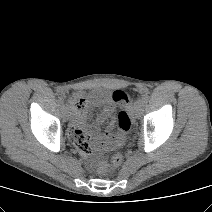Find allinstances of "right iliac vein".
Listing matches in <instances>:
<instances>
[{"label":"right iliac vein","instance_id":"obj_1","mask_svg":"<svg viewBox=\"0 0 212 212\" xmlns=\"http://www.w3.org/2000/svg\"><path fill=\"white\" fill-rule=\"evenodd\" d=\"M62 112H63L64 120H65V121H68L69 118H70V112H69L68 107L64 105V106L62 107Z\"/></svg>","mask_w":212,"mask_h":212}]
</instances>
